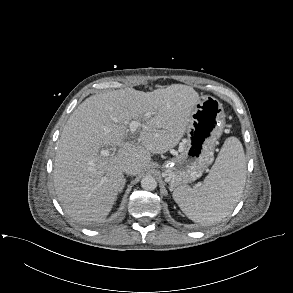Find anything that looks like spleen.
Wrapping results in <instances>:
<instances>
[{"instance_id":"3e777b00","label":"spleen","mask_w":293,"mask_h":293,"mask_svg":"<svg viewBox=\"0 0 293 293\" xmlns=\"http://www.w3.org/2000/svg\"><path fill=\"white\" fill-rule=\"evenodd\" d=\"M246 180L243 146L235 137L225 140L204 184L198 189L181 186L173 199L192 221L213 224L229 216L239 201Z\"/></svg>"}]
</instances>
